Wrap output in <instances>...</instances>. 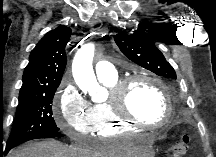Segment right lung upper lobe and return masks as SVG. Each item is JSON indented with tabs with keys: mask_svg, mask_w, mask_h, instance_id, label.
Masks as SVG:
<instances>
[{
	"mask_svg": "<svg viewBox=\"0 0 216 157\" xmlns=\"http://www.w3.org/2000/svg\"><path fill=\"white\" fill-rule=\"evenodd\" d=\"M70 35V28L60 26L37 43L24 69L19 98L58 88L66 66L65 46Z\"/></svg>",
	"mask_w": 216,
	"mask_h": 157,
	"instance_id": "cb5924a9",
	"label": "right lung upper lobe"
}]
</instances>
